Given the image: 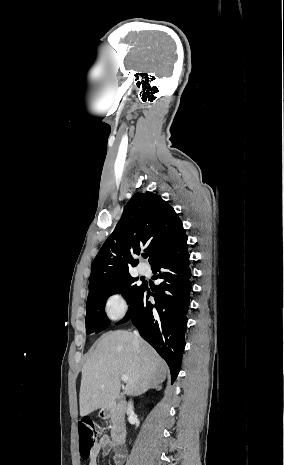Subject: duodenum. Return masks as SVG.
Instances as JSON below:
<instances>
[{"mask_svg": "<svg viewBox=\"0 0 284 465\" xmlns=\"http://www.w3.org/2000/svg\"><path fill=\"white\" fill-rule=\"evenodd\" d=\"M127 401L117 400L110 407L102 409L101 417H111L114 422L111 429V438L114 443L121 444L125 439L124 416L126 414Z\"/></svg>", "mask_w": 284, "mask_h": 465, "instance_id": "1", "label": "duodenum"}]
</instances>
